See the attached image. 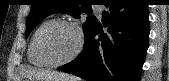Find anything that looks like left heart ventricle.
<instances>
[{
  "label": "left heart ventricle",
  "mask_w": 169,
  "mask_h": 81,
  "mask_svg": "<svg viewBox=\"0 0 169 81\" xmlns=\"http://www.w3.org/2000/svg\"><path fill=\"white\" fill-rule=\"evenodd\" d=\"M77 42V33L72 27L56 26L43 38V50L50 61H60L71 55Z\"/></svg>",
  "instance_id": "b2bd125f"
}]
</instances>
